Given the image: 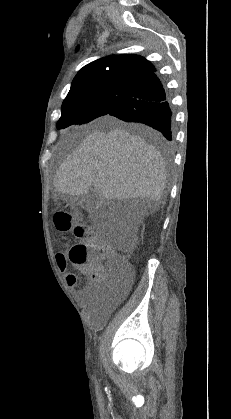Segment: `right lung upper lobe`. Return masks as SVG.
I'll return each mask as SVG.
<instances>
[{"mask_svg": "<svg viewBox=\"0 0 231 419\" xmlns=\"http://www.w3.org/2000/svg\"><path fill=\"white\" fill-rule=\"evenodd\" d=\"M155 67L134 54L110 55L84 66L75 76L68 94L89 87L135 84Z\"/></svg>", "mask_w": 231, "mask_h": 419, "instance_id": "obj_1", "label": "right lung upper lobe"}]
</instances>
